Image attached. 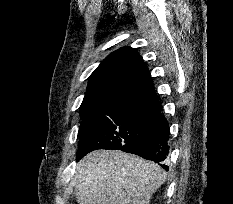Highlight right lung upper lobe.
Wrapping results in <instances>:
<instances>
[{
  "label": "right lung upper lobe",
  "instance_id": "1",
  "mask_svg": "<svg viewBox=\"0 0 233 204\" xmlns=\"http://www.w3.org/2000/svg\"><path fill=\"white\" fill-rule=\"evenodd\" d=\"M156 98L142 57L134 49L123 47L106 57L91 74L80 115L82 118L116 103Z\"/></svg>",
  "mask_w": 233,
  "mask_h": 204
}]
</instances>
